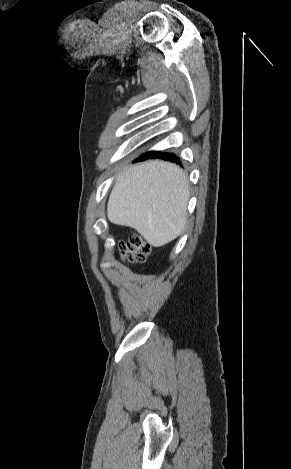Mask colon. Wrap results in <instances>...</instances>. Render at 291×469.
I'll list each match as a JSON object with an SVG mask.
<instances>
[{"label":"colon","instance_id":"colon-1","mask_svg":"<svg viewBox=\"0 0 291 469\" xmlns=\"http://www.w3.org/2000/svg\"><path fill=\"white\" fill-rule=\"evenodd\" d=\"M149 253V244L137 235L121 244V254L128 261L143 262Z\"/></svg>","mask_w":291,"mask_h":469}]
</instances>
